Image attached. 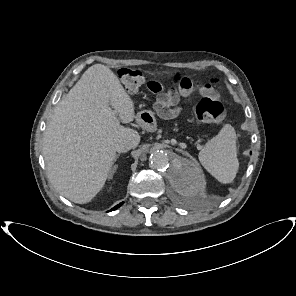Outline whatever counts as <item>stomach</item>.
I'll list each match as a JSON object with an SVG mask.
<instances>
[{
    "instance_id": "1",
    "label": "stomach",
    "mask_w": 296,
    "mask_h": 296,
    "mask_svg": "<svg viewBox=\"0 0 296 296\" xmlns=\"http://www.w3.org/2000/svg\"><path fill=\"white\" fill-rule=\"evenodd\" d=\"M137 118L142 127L148 130H153L155 128L156 120L151 111H141L138 113Z\"/></svg>"
}]
</instances>
